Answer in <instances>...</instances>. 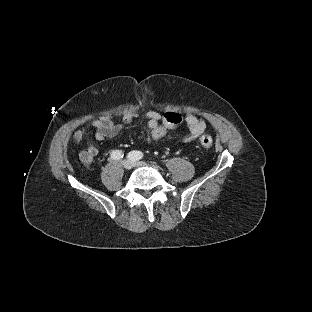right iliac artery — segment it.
<instances>
[{"mask_svg": "<svg viewBox=\"0 0 312 312\" xmlns=\"http://www.w3.org/2000/svg\"><path fill=\"white\" fill-rule=\"evenodd\" d=\"M124 156V154L122 153V151H119V150H115L111 153V157L113 159H120Z\"/></svg>", "mask_w": 312, "mask_h": 312, "instance_id": "1", "label": "right iliac artery"}]
</instances>
